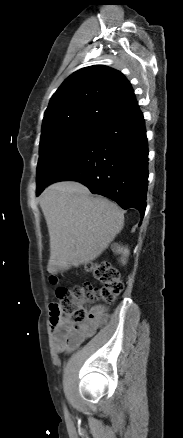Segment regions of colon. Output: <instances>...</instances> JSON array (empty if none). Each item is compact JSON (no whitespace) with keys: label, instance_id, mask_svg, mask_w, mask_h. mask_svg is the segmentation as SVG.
<instances>
[{"label":"colon","instance_id":"colon-1","mask_svg":"<svg viewBox=\"0 0 183 438\" xmlns=\"http://www.w3.org/2000/svg\"><path fill=\"white\" fill-rule=\"evenodd\" d=\"M86 269L102 286L96 288L89 283L74 288L59 287L56 295L58 303L50 305V322L52 327L60 321L67 323L73 330H79L87 319L84 305L100 300L105 303L113 302L123 290V283L118 272L106 263H90ZM50 282L55 284L56 277L51 276Z\"/></svg>","mask_w":183,"mask_h":438}]
</instances>
